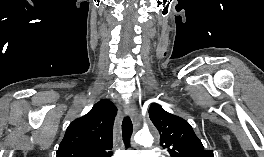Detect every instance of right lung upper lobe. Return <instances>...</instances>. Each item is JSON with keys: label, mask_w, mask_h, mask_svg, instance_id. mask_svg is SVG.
<instances>
[{"label": "right lung upper lobe", "mask_w": 264, "mask_h": 157, "mask_svg": "<svg viewBox=\"0 0 264 157\" xmlns=\"http://www.w3.org/2000/svg\"><path fill=\"white\" fill-rule=\"evenodd\" d=\"M116 107L109 100L96 103L91 111L67 128L56 157H110Z\"/></svg>", "instance_id": "1"}]
</instances>
